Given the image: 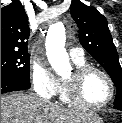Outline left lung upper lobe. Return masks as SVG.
<instances>
[{
	"label": "left lung upper lobe",
	"instance_id": "5c2ea615",
	"mask_svg": "<svg viewBox=\"0 0 122 123\" xmlns=\"http://www.w3.org/2000/svg\"><path fill=\"white\" fill-rule=\"evenodd\" d=\"M70 12L78 25L81 45L103 66L116 86L114 105H122V69L105 16L80 0H72Z\"/></svg>",
	"mask_w": 122,
	"mask_h": 123
}]
</instances>
